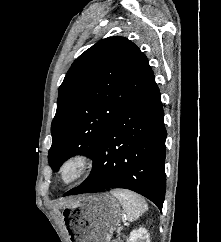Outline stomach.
<instances>
[{
    "instance_id": "1",
    "label": "stomach",
    "mask_w": 221,
    "mask_h": 242,
    "mask_svg": "<svg viewBox=\"0 0 221 242\" xmlns=\"http://www.w3.org/2000/svg\"><path fill=\"white\" fill-rule=\"evenodd\" d=\"M65 210L69 212L71 242H110L121 218L118 201L108 193L75 198Z\"/></svg>"
}]
</instances>
